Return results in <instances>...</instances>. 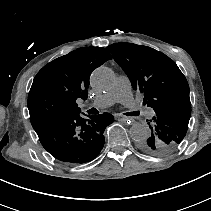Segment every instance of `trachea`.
I'll return each instance as SVG.
<instances>
[{
	"mask_svg": "<svg viewBox=\"0 0 211 211\" xmlns=\"http://www.w3.org/2000/svg\"><path fill=\"white\" fill-rule=\"evenodd\" d=\"M125 115H128V116H137L139 115V112H128V113H124Z\"/></svg>",
	"mask_w": 211,
	"mask_h": 211,
	"instance_id": "obj_1",
	"label": "trachea"
}]
</instances>
